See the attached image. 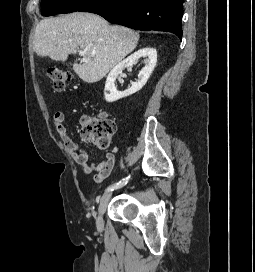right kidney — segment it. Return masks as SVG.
Instances as JSON below:
<instances>
[{
	"label": "right kidney",
	"mask_w": 255,
	"mask_h": 272,
	"mask_svg": "<svg viewBox=\"0 0 255 272\" xmlns=\"http://www.w3.org/2000/svg\"><path fill=\"white\" fill-rule=\"evenodd\" d=\"M144 58L145 67L138 74V80L125 91L119 92L115 85V79L126 67H131L138 59ZM157 62V51L151 47H145L131 54L129 57L117 64L109 73L105 83L104 97L107 102H114L120 98L127 97L139 91L148 81Z\"/></svg>",
	"instance_id": "ca27d5eb"
}]
</instances>
